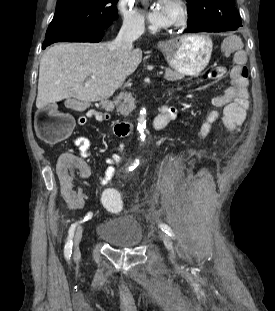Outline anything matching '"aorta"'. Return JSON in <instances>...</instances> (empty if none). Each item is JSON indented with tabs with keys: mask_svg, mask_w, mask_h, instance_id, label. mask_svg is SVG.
Masks as SVG:
<instances>
[{
	"mask_svg": "<svg viewBox=\"0 0 275 311\" xmlns=\"http://www.w3.org/2000/svg\"><path fill=\"white\" fill-rule=\"evenodd\" d=\"M146 129V109L144 107L141 108L140 114L138 117V124H137V130L140 134V140L144 142L145 140V134L144 131Z\"/></svg>",
	"mask_w": 275,
	"mask_h": 311,
	"instance_id": "762f6f07",
	"label": "aorta"
}]
</instances>
